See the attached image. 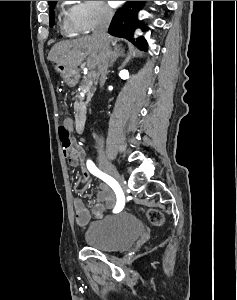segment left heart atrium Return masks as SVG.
Instances as JSON below:
<instances>
[{
	"label": "left heart atrium",
	"instance_id": "left-heart-atrium-1",
	"mask_svg": "<svg viewBox=\"0 0 237 300\" xmlns=\"http://www.w3.org/2000/svg\"><path fill=\"white\" fill-rule=\"evenodd\" d=\"M123 1H109L110 5L112 6H118L119 4H121Z\"/></svg>",
	"mask_w": 237,
	"mask_h": 300
}]
</instances>
